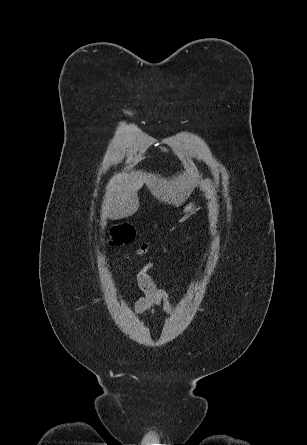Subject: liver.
<instances>
[{"mask_svg":"<svg viewBox=\"0 0 307 445\" xmlns=\"http://www.w3.org/2000/svg\"><path fill=\"white\" fill-rule=\"evenodd\" d=\"M198 180L199 172L195 166H186L184 172L172 176L152 174L146 170L118 172L110 178L103 200V216L126 218L137 212L140 206L138 190L146 184L151 194L167 204L180 206L189 198Z\"/></svg>","mask_w":307,"mask_h":445,"instance_id":"obj_1","label":"liver"}]
</instances>
